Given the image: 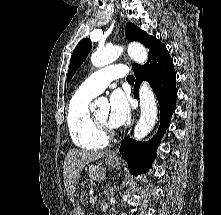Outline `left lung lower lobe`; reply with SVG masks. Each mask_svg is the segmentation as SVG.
<instances>
[{"label":"left lung lower lobe","mask_w":221,"mask_h":215,"mask_svg":"<svg viewBox=\"0 0 221 215\" xmlns=\"http://www.w3.org/2000/svg\"><path fill=\"white\" fill-rule=\"evenodd\" d=\"M133 71L136 77L135 98L138 99L140 83L147 80L158 98L161 115L159 130L152 140L138 142L127 137L120 146V153L127 161L129 170L134 175H138L146 173L151 167L156 149L175 111L177 89L173 60L164 44L157 48L144 66L133 69Z\"/></svg>","instance_id":"1"}]
</instances>
